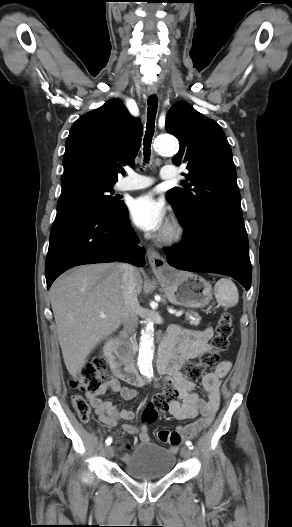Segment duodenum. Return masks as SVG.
I'll use <instances>...</instances> for the list:
<instances>
[{
  "label": "duodenum",
  "mask_w": 292,
  "mask_h": 527,
  "mask_svg": "<svg viewBox=\"0 0 292 527\" xmlns=\"http://www.w3.org/2000/svg\"><path fill=\"white\" fill-rule=\"evenodd\" d=\"M106 352L110 358L114 373L119 374L126 382L141 386L145 380L137 373L132 362L123 354L119 339H112L106 346ZM171 352L167 344L163 342L159 349L156 369L159 374H165L169 367Z\"/></svg>",
  "instance_id": "1"
}]
</instances>
